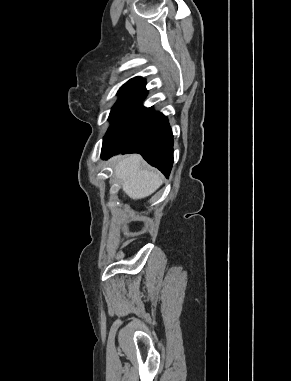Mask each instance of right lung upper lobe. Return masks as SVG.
Returning <instances> with one entry per match:
<instances>
[{
    "label": "right lung upper lobe",
    "instance_id": "obj_1",
    "mask_svg": "<svg viewBox=\"0 0 291 381\" xmlns=\"http://www.w3.org/2000/svg\"><path fill=\"white\" fill-rule=\"evenodd\" d=\"M135 79H140V80H141V77H136V78H134V79H131V80H135Z\"/></svg>",
    "mask_w": 291,
    "mask_h": 381
}]
</instances>
